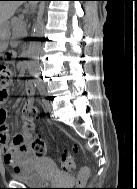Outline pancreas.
Returning a JSON list of instances; mask_svg holds the SVG:
<instances>
[{"label":"pancreas","instance_id":"1","mask_svg":"<svg viewBox=\"0 0 137 189\" xmlns=\"http://www.w3.org/2000/svg\"><path fill=\"white\" fill-rule=\"evenodd\" d=\"M12 31L15 38L26 35V23L23 21V16L20 15L12 19Z\"/></svg>","mask_w":137,"mask_h":189}]
</instances>
